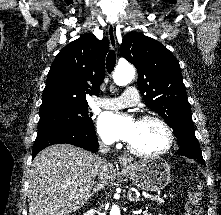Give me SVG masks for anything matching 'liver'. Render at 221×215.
<instances>
[{
    "label": "liver",
    "mask_w": 221,
    "mask_h": 215,
    "mask_svg": "<svg viewBox=\"0 0 221 215\" xmlns=\"http://www.w3.org/2000/svg\"><path fill=\"white\" fill-rule=\"evenodd\" d=\"M100 166L97 155L69 144L42 150L29 173V215H68L80 209L90 197ZM106 174L108 180V167Z\"/></svg>",
    "instance_id": "obj_1"
}]
</instances>
